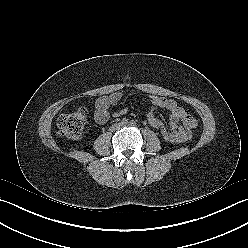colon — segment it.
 I'll list each match as a JSON object with an SVG mask.
<instances>
[{"instance_id":"1","label":"colon","mask_w":248,"mask_h":248,"mask_svg":"<svg viewBox=\"0 0 248 248\" xmlns=\"http://www.w3.org/2000/svg\"><path fill=\"white\" fill-rule=\"evenodd\" d=\"M86 123V111L78 109L71 113H65L59 116L57 120V132L60 136L78 140L83 136ZM162 139L170 144L178 143L176 134L170 129L161 128Z\"/></svg>"}]
</instances>
